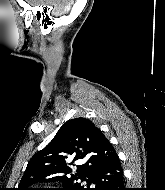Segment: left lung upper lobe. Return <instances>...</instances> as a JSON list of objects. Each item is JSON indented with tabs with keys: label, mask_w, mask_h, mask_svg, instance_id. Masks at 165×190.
Segmentation results:
<instances>
[{
	"label": "left lung upper lobe",
	"mask_w": 165,
	"mask_h": 190,
	"mask_svg": "<svg viewBox=\"0 0 165 190\" xmlns=\"http://www.w3.org/2000/svg\"><path fill=\"white\" fill-rule=\"evenodd\" d=\"M114 155L115 149L89 119H71L60 127L44 149L30 159L17 190H39L29 186L55 180H61L64 186L56 190H88L94 174ZM75 161L82 164L77 166V173L71 174L67 164ZM58 174L64 175L55 176ZM77 181H87V188L81 187Z\"/></svg>",
	"instance_id": "obj_1"
}]
</instances>
